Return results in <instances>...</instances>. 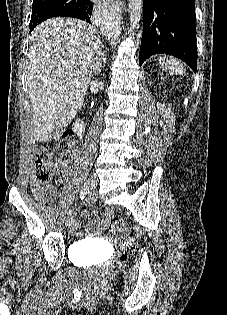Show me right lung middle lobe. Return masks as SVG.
Returning a JSON list of instances; mask_svg holds the SVG:
<instances>
[{
	"label": "right lung middle lobe",
	"instance_id": "dd1d6c3e",
	"mask_svg": "<svg viewBox=\"0 0 227 315\" xmlns=\"http://www.w3.org/2000/svg\"><path fill=\"white\" fill-rule=\"evenodd\" d=\"M77 0H33L30 32L46 19L58 17L62 10L72 6Z\"/></svg>",
	"mask_w": 227,
	"mask_h": 315
}]
</instances>
